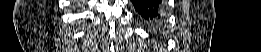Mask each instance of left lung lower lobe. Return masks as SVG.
Returning a JSON list of instances; mask_svg holds the SVG:
<instances>
[{
	"instance_id": "obj_1",
	"label": "left lung lower lobe",
	"mask_w": 261,
	"mask_h": 52,
	"mask_svg": "<svg viewBox=\"0 0 261 52\" xmlns=\"http://www.w3.org/2000/svg\"><path fill=\"white\" fill-rule=\"evenodd\" d=\"M135 10L148 24L158 26L163 20L162 0H131Z\"/></svg>"
}]
</instances>
